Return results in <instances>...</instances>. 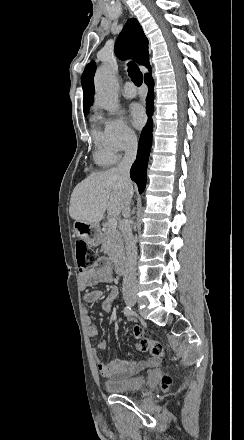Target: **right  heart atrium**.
<instances>
[{"mask_svg":"<svg viewBox=\"0 0 244 440\" xmlns=\"http://www.w3.org/2000/svg\"><path fill=\"white\" fill-rule=\"evenodd\" d=\"M103 122L105 145L113 153L131 148L136 143L135 131L121 117H98Z\"/></svg>","mask_w":244,"mask_h":440,"instance_id":"obj_1","label":"right heart atrium"}]
</instances>
